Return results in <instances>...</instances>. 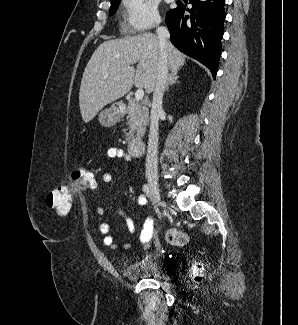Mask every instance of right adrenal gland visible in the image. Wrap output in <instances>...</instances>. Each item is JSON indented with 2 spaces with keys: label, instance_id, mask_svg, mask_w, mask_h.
Instances as JSON below:
<instances>
[{
  "label": "right adrenal gland",
  "instance_id": "obj_1",
  "mask_svg": "<svg viewBox=\"0 0 298 325\" xmlns=\"http://www.w3.org/2000/svg\"><path fill=\"white\" fill-rule=\"evenodd\" d=\"M178 78H179L178 72H173V70H172V72H170V74L168 76V80L165 84V88H164L163 92H165V90H168L170 84H174V82H178Z\"/></svg>",
  "mask_w": 298,
  "mask_h": 325
}]
</instances>
